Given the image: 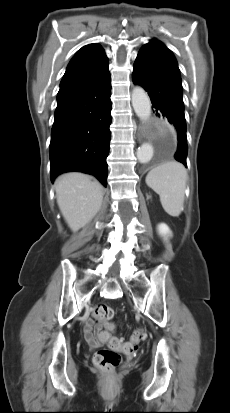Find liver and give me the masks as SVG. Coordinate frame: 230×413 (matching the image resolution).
I'll list each match as a JSON object with an SVG mask.
<instances>
[{"label":"liver","mask_w":230,"mask_h":413,"mask_svg":"<svg viewBox=\"0 0 230 413\" xmlns=\"http://www.w3.org/2000/svg\"><path fill=\"white\" fill-rule=\"evenodd\" d=\"M55 190L57 204L73 232L88 224L101 208L103 187L86 174L71 172L59 176Z\"/></svg>","instance_id":"1"}]
</instances>
